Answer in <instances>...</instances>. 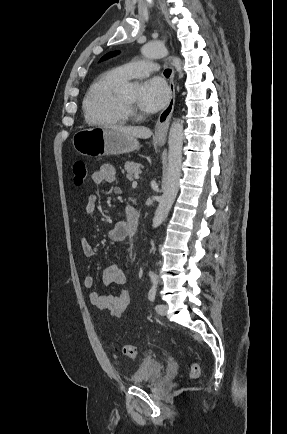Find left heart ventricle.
<instances>
[{"label":"left heart ventricle","mask_w":287,"mask_h":434,"mask_svg":"<svg viewBox=\"0 0 287 434\" xmlns=\"http://www.w3.org/2000/svg\"><path fill=\"white\" fill-rule=\"evenodd\" d=\"M122 97L129 103L135 104L136 102V94L134 92L122 94Z\"/></svg>","instance_id":"obj_1"}]
</instances>
